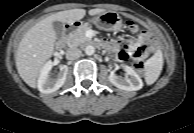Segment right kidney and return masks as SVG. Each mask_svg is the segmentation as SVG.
<instances>
[{
    "instance_id": "obj_1",
    "label": "right kidney",
    "mask_w": 194,
    "mask_h": 133,
    "mask_svg": "<svg viewBox=\"0 0 194 133\" xmlns=\"http://www.w3.org/2000/svg\"><path fill=\"white\" fill-rule=\"evenodd\" d=\"M52 63L47 62L40 73L38 79V89L41 93L50 94L57 91L60 87L63 86L66 76L68 73V67L66 65L60 66V71L58 74H54L51 72Z\"/></svg>"
}]
</instances>
